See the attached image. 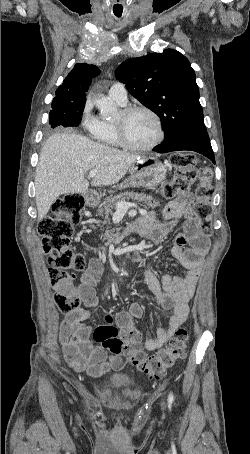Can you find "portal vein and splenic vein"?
I'll return each instance as SVG.
<instances>
[{
	"instance_id": "obj_1",
	"label": "portal vein and splenic vein",
	"mask_w": 250,
	"mask_h": 454,
	"mask_svg": "<svg viewBox=\"0 0 250 454\" xmlns=\"http://www.w3.org/2000/svg\"><path fill=\"white\" fill-rule=\"evenodd\" d=\"M98 172V169H93L89 172V177L90 178H93L96 176ZM131 207V203L129 202H126V201H119L117 204H116V213L120 214V215H124L128 209Z\"/></svg>"
}]
</instances>
